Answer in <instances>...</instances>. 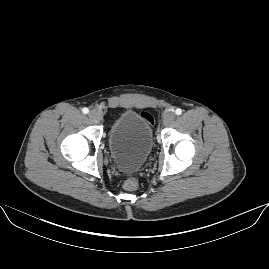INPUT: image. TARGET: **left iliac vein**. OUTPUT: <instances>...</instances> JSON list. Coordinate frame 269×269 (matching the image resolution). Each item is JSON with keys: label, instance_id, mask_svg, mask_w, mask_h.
Listing matches in <instances>:
<instances>
[{"label": "left iliac vein", "instance_id": "1", "mask_svg": "<svg viewBox=\"0 0 269 269\" xmlns=\"http://www.w3.org/2000/svg\"><path fill=\"white\" fill-rule=\"evenodd\" d=\"M175 114L174 112L168 111L164 114L163 122L166 126L171 125L174 122Z\"/></svg>", "mask_w": 269, "mask_h": 269}]
</instances>
